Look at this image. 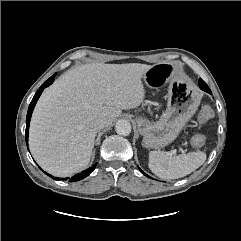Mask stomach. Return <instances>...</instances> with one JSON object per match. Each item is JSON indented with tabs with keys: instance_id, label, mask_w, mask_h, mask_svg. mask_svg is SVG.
<instances>
[{
	"instance_id": "stomach-1",
	"label": "stomach",
	"mask_w": 241,
	"mask_h": 241,
	"mask_svg": "<svg viewBox=\"0 0 241 241\" xmlns=\"http://www.w3.org/2000/svg\"><path fill=\"white\" fill-rule=\"evenodd\" d=\"M151 88L168 86L166 111L156 122L137 117L136 124L146 148L161 149L172 143L182 128L195 114L201 101L197 89L180 74L179 67L171 62H159L143 76Z\"/></svg>"
}]
</instances>
